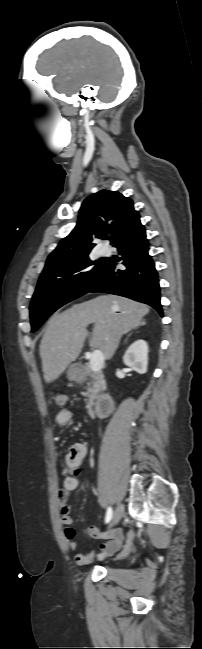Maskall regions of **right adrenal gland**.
Wrapping results in <instances>:
<instances>
[{
	"label": "right adrenal gland",
	"instance_id": "obj_1",
	"mask_svg": "<svg viewBox=\"0 0 202 649\" xmlns=\"http://www.w3.org/2000/svg\"><path fill=\"white\" fill-rule=\"evenodd\" d=\"M143 325H145V322H144V321L140 322V323L135 327V329L138 328L139 326H143ZM131 334H132V333L128 334L127 338H128Z\"/></svg>",
	"mask_w": 202,
	"mask_h": 649
}]
</instances>
